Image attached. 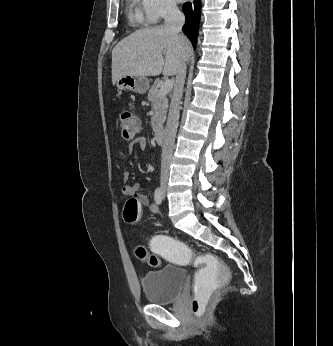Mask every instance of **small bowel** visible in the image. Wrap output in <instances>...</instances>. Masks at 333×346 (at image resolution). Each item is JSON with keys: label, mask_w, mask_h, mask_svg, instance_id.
I'll list each match as a JSON object with an SVG mask.
<instances>
[{"label": "small bowel", "mask_w": 333, "mask_h": 346, "mask_svg": "<svg viewBox=\"0 0 333 346\" xmlns=\"http://www.w3.org/2000/svg\"><path fill=\"white\" fill-rule=\"evenodd\" d=\"M147 145V140L144 137H138L136 138L128 147V152L132 153L136 149H144ZM131 178V173L129 171H125L123 173V180L127 182ZM140 184L134 183V184H126L123 187V193L126 196H134L138 198L141 205L147 207L149 211L152 213H157L159 211V208L157 205L150 202L148 196L144 194L139 193Z\"/></svg>", "instance_id": "small-bowel-1"}]
</instances>
